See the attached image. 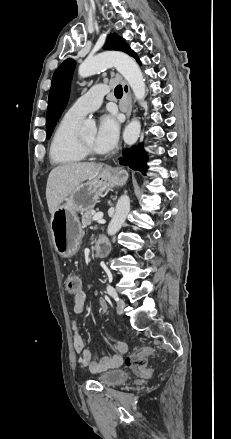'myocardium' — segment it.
I'll return each mask as SVG.
<instances>
[{
    "instance_id": "myocardium-1",
    "label": "myocardium",
    "mask_w": 231,
    "mask_h": 439,
    "mask_svg": "<svg viewBox=\"0 0 231 439\" xmlns=\"http://www.w3.org/2000/svg\"><path fill=\"white\" fill-rule=\"evenodd\" d=\"M77 141L80 149L86 156H98L100 155V152L93 149L91 146H89L82 138L81 134L77 135Z\"/></svg>"
}]
</instances>
